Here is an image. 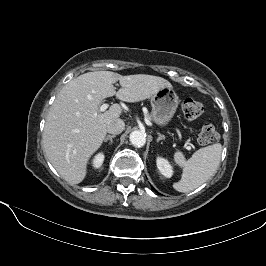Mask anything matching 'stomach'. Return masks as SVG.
Returning a JSON list of instances; mask_svg holds the SVG:
<instances>
[{
  "label": "stomach",
  "mask_w": 266,
  "mask_h": 266,
  "mask_svg": "<svg viewBox=\"0 0 266 266\" xmlns=\"http://www.w3.org/2000/svg\"><path fill=\"white\" fill-rule=\"evenodd\" d=\"M178 96L173 88L164 87L151 97V118L159 126H166L178 107Z\"/></svg>",
  "instance_id": "1"
}]
</instances>
